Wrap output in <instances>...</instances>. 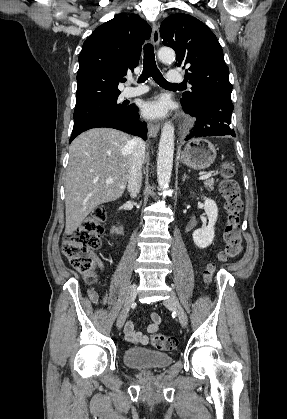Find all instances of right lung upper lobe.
<instances>
[{"label": "right lung upper lobe", "instance_id": "1", "mask_svg": "<svg viewBox=\"0 0 287 419\" xmlns=\"http://www.w3.org/2000/svg\"><path fill=\"white\" fill-rule=\"evenodd\" d=\"M151 27L138 15H116L86 39L79 55L76 106L120 94L121 78L138 64Z\"/></svg>", "mask_w": 287, "mask_h": 419}]
</instances>
